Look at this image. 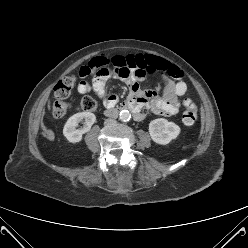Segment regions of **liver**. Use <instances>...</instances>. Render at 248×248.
Here are the masks:
<instances>
[{
	"mask_svg": "<svg viewBox=\"0 0 248 248\" xmlns=\"http://www.w3.org/2000/svg\"><path fill=\"white\" fill-rule=\"evenodd\" d=\"M48 108L50 109V101H49V103H48Z\"/></svg>",
	"mask_w": 248,
	"mask_h": 248,
	"instance_id": "obj_1",
	"label": "liver"
}]
</instances>
